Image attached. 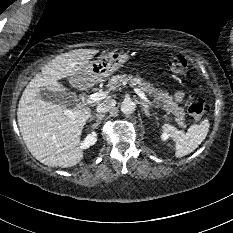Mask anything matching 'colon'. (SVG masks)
<instances>
[{
  "instance_id": "colon-1",
  "label": "colon",
  "mask_w": 233,
  "mask_h": 233,
  "mask_svg": "<svg viewBox=\"0 0 233 233\" xmlns=\"http://www.w3.org/2000/svg\"><path fill=\"white\" fill-rule=\"evenodd\" d=\"M170 69L178 75H186L187 61L180 55H172L168 59ZM206 111L205 102L201 99L191 100L188 103V113L195 117L200 118Z\"/></svg>"
}]
</instances>
